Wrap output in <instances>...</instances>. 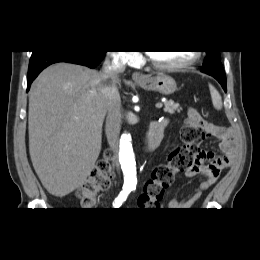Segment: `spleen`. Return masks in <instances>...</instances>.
<instances>
[{"instance_id": "3e777b00", "label": "spleen", "mask_w": 260, "mask_h": 260, "mask_svg": "<svg viewBox=\"0 0 260 260\" xmlns=\"http://www.w3.org/2000/svg\"><path fill=\"white\" fill-rule=\"evenodd\" d=\"M209 89L214 108L221 110L223 105L221 95L212 85H209Z\"/></svg>"}]
</instances>
